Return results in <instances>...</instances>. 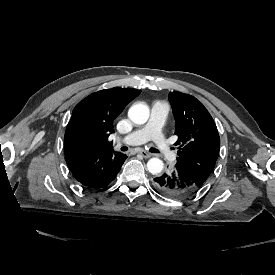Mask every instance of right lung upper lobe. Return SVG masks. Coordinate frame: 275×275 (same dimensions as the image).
I'll return each mask as SVG.
<instances>
[{"instance_id": "1", "label": "right lung upper lobe", "mask_w": 275, "mask_h": 275, "mask_svg": "<svg viewBox=\"0 0 275 275\" xmlns=\"http://www.w3.org/2000/svg\"><path fill=\"white\" fill-rule=\"evenodd\" d=\"M140 92L114 87L92 93L79 102L66 128L65 155L112 149L108 137L114 132L113 121Z\"/></svg>"}]
</instances>
